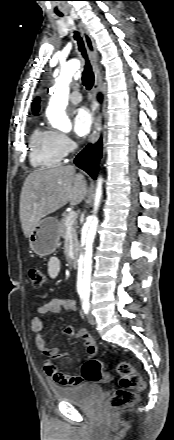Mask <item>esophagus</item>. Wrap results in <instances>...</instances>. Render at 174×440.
<instances>
[{"label":"esophagus","mask_w":174,"mask_h":440,"mask_svg":"<svg viewBox=\"0 0 174 440\" xmlns=\"http://www.w3.org/2000/svg\"><path fill=\"white\" fill-rule=\"evenodd\" d=\"M78 26L80 29V32L82 34V37L85 42L86 49L88 51L89 57L91 59L94 75H95V83L93 86V92L94 94H97L101 89V75L97 66L98 61V54L96 50V45L91 37L90 33L88 32L86 26L81 22L78 21ZM92 115H93V130L90 135V142L95 143L99 139L100 132H101V114L99 112V103L97 100L93 101L92 104Z\"/></svg>","instance_id":"obj_1"}]
</instances>
